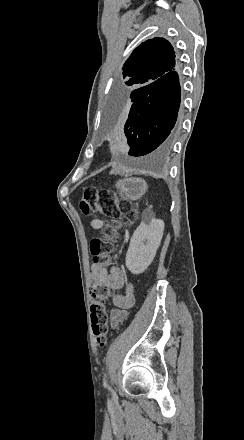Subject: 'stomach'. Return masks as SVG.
<instances>
[{
  "mask_svg": "<svg viewBox=\"0 0 244 440\" xmlns=\"http://www.w3.org/2000/svg\"><path fill=\"white\" fill-rule=\"evenodd\" d=\"M121 198L125 200H140L148 190V184L142 178H123L115 184Z\"/></svg>",
  "mask_w": 244,
  "mask_h": 440,
  "instance_id": "1",
  "label": "stomach"
}]
</instances>
